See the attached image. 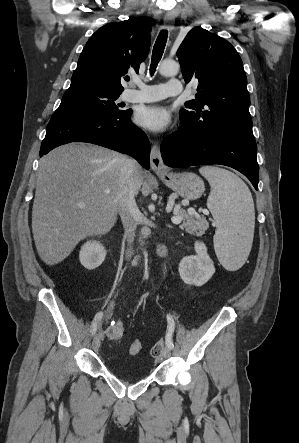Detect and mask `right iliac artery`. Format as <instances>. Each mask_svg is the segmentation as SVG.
Wrapping results in <instances>:
<instances>
[{"mask_svg":"<svg viewBox=\"0 0 299 443\" xmlns=\"http://www.w3.org/2000/svg\"><path fill=\"white\" fill-rule=\"evenodd\" d=\"M102 317H103V312H98L95 315L94 320H93L92 325H91V330H90L91 336H93L96 333V331H97V323L102 319Z\"/></svg>","mask_w":299,"mask_h":443,"instance_id":"1","label":"right iliac artery"}]
</instances>
